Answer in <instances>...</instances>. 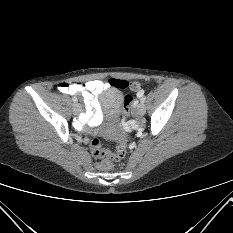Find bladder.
I'll list each match as a JSON object with an SVG mask.
<instances>
[{"instance_id":"1","label":"bladder","mask_w":233,"mask_h":233,"mask_svg":"<svg viewBox=\"0 0 233 233\" xmlns=\"http://www.w3.org/2000/svg\"><path fill=\"white\" fill-rule=\"evenodd\" d=\"M122 100H123L122 92L116 88H109L104 93V96L102 98L104 105L107 107V109L110 111L113 117L118 116L121 109ZM105 135L109 138H112L113 132L107 131Z\"/></svg>"}]
</instances>
